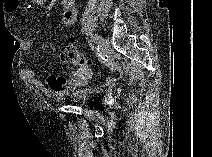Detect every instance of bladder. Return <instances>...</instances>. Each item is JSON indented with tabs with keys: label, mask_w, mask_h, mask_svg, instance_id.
I'll list each match as a JSON object with an SVG mask.
<instances>
[{
	"label": "bladder",
	"mask_w": 212,
	"mask_h": 157,
	"mask_svg": "<svg viewBox=\"0 0 212 157\" xmlns=\"http://www.w3.org/2000/svg\"><path fill=\"white\" fill-rule=\"evenodd\" d=\"M102 95L103 92L100 89L90 87L72 94L69 99L74 103L86 106L94 104Z\"/></svg>",
	"instance_id": "31cf9c89"
}]
</instances>
